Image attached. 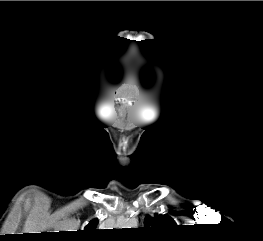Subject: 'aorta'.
Wrapping results in <instances>:
<instances>
[{
    "label": "aorta",
    "mask_w": 263,
    "mask_h": 241,
    "mask_svg": "<svg viewBox=\"0 0 263 241\" xmlns=\"http://www.w3.org/2000/svg\"><path fill=\"white\" fill-rule=\"evenodd\" d=\"M137 225V221L134 218H128L122 223L124 228H133Z\"/></svg>",
    "instance_id": "762f6f07"
}]
</instances>
